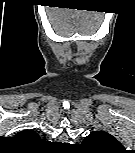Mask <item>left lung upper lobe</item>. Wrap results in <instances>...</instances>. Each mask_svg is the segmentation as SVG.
Listing matches in <instances>:
<instances>
[{"label": "left lung upper lobe", "mask_w": 135, "mask_h": 153, "mask_svg": "<svg viewBox=\"0 0 135 153\" xmlns=\"http://www.w3.org/2000/svg\"><path fill=\"white\" fill-rule=\"evenodd\" d=\"M82 146L100 153H111L123 150V146L109 133L104 131H93L82 142Z\"/></svg>", "instance_id": "1"}]
</instances>
